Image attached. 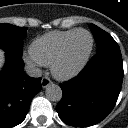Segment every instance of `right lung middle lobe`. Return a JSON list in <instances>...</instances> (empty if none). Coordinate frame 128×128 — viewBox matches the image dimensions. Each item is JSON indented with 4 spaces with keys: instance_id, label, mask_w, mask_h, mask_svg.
<instances>
[{
    "instance_id": "dd1d6c3e",
    "label": "right lung middle lobe",
    "mask_w": 128,
    "mask_h": 128,
    "mask_svg": "<svg viewBox=\"0 0 128 128\" xmlns=\"http://www.w3.org/2000/svg\"><path fill=\"white\" fill-rule=\"evenodd\" d=\"M27 35L26 27H17L11 24H0V48L16 57H22V41Z\"/></svg>"
}]
</instances>
